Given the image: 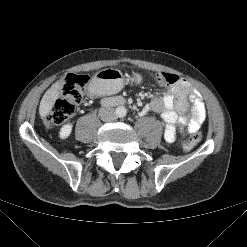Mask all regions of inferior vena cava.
Masks as SVG:
<instances>
[{
  "mask_svg": "<svg viewBox=\"0 0 247 247\" xmlns=\"http://www.w3.org/2000/svg\"><path fill=\"white\" fill-rule=\"evenodd\" d=\"M98 116L104 122H112L117 117L114 109L104 107L99 109Z\"/></svg>",
  "mask_w": 247,
  "mask_h": 247,
  "instance_id": "1",
  "label": "inferior vena cava"
}]
</instances>
